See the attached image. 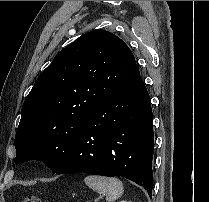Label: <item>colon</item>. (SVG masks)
Listing matches in <instances>:
<instances>
[{"label":"colon","instance_id":"obj_1","mask_svg":"<svg viewBox=\"0 0 209 202\" xmlns=\"http://www.w3.org/2000/svg\"><path fill=\"white\" fill-rule=\"evenodd\" d=\"M20 202H46L35 196H29L22 199Z\"/></svg>","mask_w":209,"mask_h":202}]
</instances>
